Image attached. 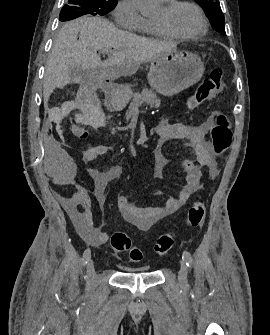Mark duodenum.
<instances>
[{
	"label": "duodenum",
	"instance_id": "1",
	"mask_svg": "<svg viewBox=\"0 0 270 335\" xmlns=\"http://www.w3.org/2000/svg\"><path fill=\"white\" fill-rule=\"evenodd\" d=\"M107 101L106 106L110 111H119L124 107L125 94L120 85L113 80H107L104 85Z\"/></svg>",
	"mask_w": 270,
	"mask_h": 335
}]
</instances>
